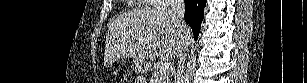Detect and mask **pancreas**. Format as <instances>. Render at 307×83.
<instances>
[{"label": "pancreas", "mask_w": 307, "mask_h": 83, "mask_svg": "<svg viewBox=\"0 0 307 83\" xmlns=\"http://www.w3.org/2000/svg\"><path fill=\"white\" fill-rule=\"evenodd\" d=\"M152 83H169V76H161L160 71H155L152 76Z\"/></svg>", "instance_id": "obj_1"}]
</instances>
